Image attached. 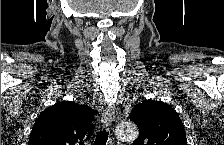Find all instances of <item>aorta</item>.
Instances as JSON below:
<instances>
[{"label": "aorta", "mask_w": 224, "mask_h": 145, "mask_svg": "<svg viewBox=\"0 0 224 145\" xmlns=\"http://www.w3.org/2000/svg\"><path fill=\"white\" fill-rule=\"evenodd\" d=\"M116 135L122 141L132 142L137 139L139 131L133 122H123L118 125Z\"/></svg>", "instance_id": "aorta-1"}]
</instances>
